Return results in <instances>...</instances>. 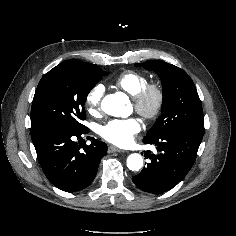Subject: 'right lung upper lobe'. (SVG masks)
<instances>
[{"mask_svg":"<svg viewBox=\"0 0 236 236\" xmlns=\"http://www.w3.org/2000/svg\"><path fill=\"white\" fill-rule=\"evenodd\" d=\"M70 61H74V62H77L81 65H83L84 67L94 71L96 70L97 68H99L98 66L94 65V64H91V63H85V62H82V61H79V60H76V59H70Z\"/></svg>","mask_w":236,"mask_h":236,"instance_id":"right-lung-upper-lobe-1","label":"right lung upper lobe"}]
</instances>
